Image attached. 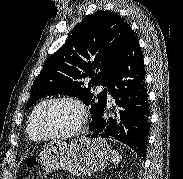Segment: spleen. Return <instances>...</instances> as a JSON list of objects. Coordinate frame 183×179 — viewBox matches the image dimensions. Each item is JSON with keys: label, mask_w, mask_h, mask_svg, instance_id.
<instances>
[{"label": "spleen", "mask_w": 183, "mask_h": 179, "mask_svg": "<svg viewBox=\"0 0 183 179\" xmlns=\"http://www.w3.org/2000/svg\"><path fill=\"white\" fill-rule=\"evenodd\" d=\"M111 158H112L113 164H115V165L119 164L122 159V157L119 155V153L116 152L115 150L111 151Z\"/></svg>", "instance_id": "3e777b00"}]
</instances>
